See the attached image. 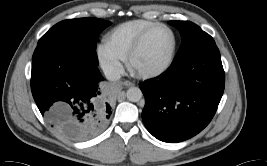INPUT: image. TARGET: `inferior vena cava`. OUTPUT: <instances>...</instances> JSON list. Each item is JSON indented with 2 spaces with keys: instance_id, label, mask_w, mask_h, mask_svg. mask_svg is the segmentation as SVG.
Segmentation results:
<instances>
[{
  "instance_id": "obj_1",
  "label": "inferior vena cava",
  "mask_w": 267,
  "mask_h": 166,
  "mask_svg": "<svg viewBox=\"0 0 267 166\" xmlns=\"http://www.w3.org/2000/svg\"><path fill=\"white\" fill-rule=\"evenodd\" d=\"M103 72L105 74V77L110 81L119 80L121 77L119 70L112 66L104 67Z\"/></svg>"
}]
</instances>
